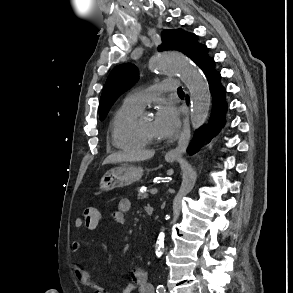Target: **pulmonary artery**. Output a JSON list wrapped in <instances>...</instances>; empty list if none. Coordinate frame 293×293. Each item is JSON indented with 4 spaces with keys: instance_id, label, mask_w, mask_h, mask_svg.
I'll use <instances>...</instances> for the list:
<instances>
[{
    "instance_id": "1",
    "label": "pulmonary artery",
    "mask_w": 293,
    "mask_h": 293,
    "mask_svg": "<svg viewBox=\"0 0 293 293\" xmlns=\"http://www.w3.org/2000/svg\"><path fill=\"white\" fill-rule=\"evenodd\" d=\"M180 85L177 79H167L153 85L147 90H135L129 93L123 104L143 110L150 100L160 93L176 91Z\"/></svg>"
}]
</instances>
